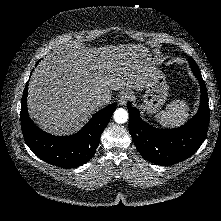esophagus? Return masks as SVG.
Returning a JSON list of instances; mask_svg holds the SVG:
<instances>
[{"instance_id":"1","label":"esophagus","mask_w":221,"mask_h":221,"mask_svg":"<svg viewBox=\"0 0 221 221\" xmlns=\"http://www.w3.org/2000/svg\"><path fill=\"white\" fill-rule=\"evenodd\" d=\"M131 98V93L126 91V92H123L120 97H119V104L121 106H124L127 104V102L130 100Z\"/></svg>"}]
</instances>
